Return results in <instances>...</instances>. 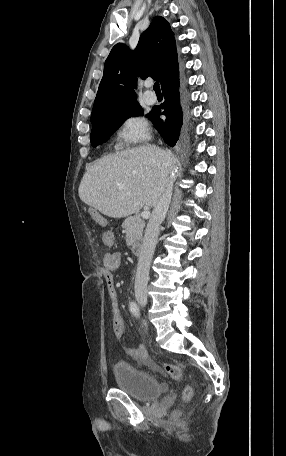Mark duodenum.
<instances>
[{
    "label": "duodenum",
    "mask_w": 286,
    "mask_h": 456,
    "mask_svg": "<svg viewBox=\"0 0 286 456\" xmlns=\"http://www.w3.org/2000/svg\"><path fill=\"white\" fill-rule=\"evenodd\" d=\"M132 252L135 255H140L142 252V243L141 242H136L132 245Z\"/></svg>",
    "instance_id": "1"
}]
</instances>
